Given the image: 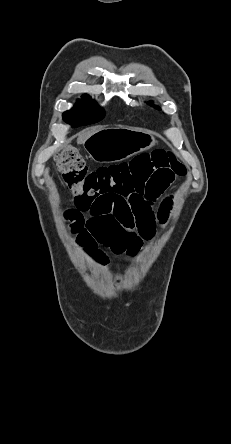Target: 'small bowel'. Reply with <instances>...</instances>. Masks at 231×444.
<instances>
[{"mask_svg": "<svg viewBox=\"0 0 231 444\" xmlns=\"http://www.w3.org/2000/svg\"><path fill=\"white\" fill-rule=\"evenodd\" d=\"M166 187L155 186V194L143 200L134 210L119 198L77 199L66 216L81 246L99 263L106 264L108 256L101 246L116 254L134 255L144 241L155 235L157 223L166 222L169 200L163 203L157 214L152 210V203Z\"/></svg>", "mask_w": 231, "mask_h": 444, "instance_id": "c3829d8e", "label": "small bowel"}]
</instances>
